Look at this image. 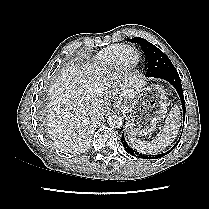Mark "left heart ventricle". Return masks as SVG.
Returning <instances> with one entry per match:
<instances>
[{
    "label": "left heart ventricle",
    "mask_w": 209,
    "mask_h": 209,
    "mask_svg": "<svg viewBox=\"0 0 209 209\" xmlns=\"http://www.w3.org/2000/svg\"><path fill=\"white\" fill-rule=\"evenodd\" d=\"M135 56V53L133 50H127L124 55L123 58L125 61H131Z\"/></svg>",
    "instance_id": "left-heart-ventricle-1"
}]
</instances>
